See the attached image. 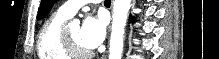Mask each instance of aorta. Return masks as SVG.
I'll use <instances>...</instances> for the list:
<instances>
[{
	"label": "aorta",
	"mask_w": 219,
	"mask_h": 59,
	"mask_svg": "<svg viewBox=\"0 0 219 59\" xmlns=\"http://www.w3.org/2000/svg\"><path fill=\"white\" fill-rule=\"evenodd\" d=\"M131 0H114L109 59H121L123 39Z\"/></svg>",
	"instance_id": "1"
}]
</instances>
